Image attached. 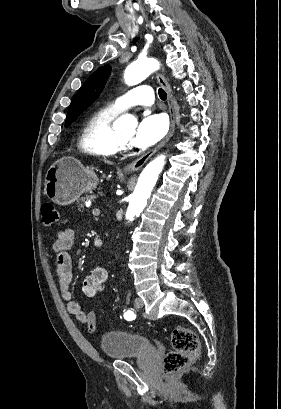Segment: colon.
Here are the masks:
<instances>
[{"label": "colon", "mask_w": 281, "mask_h": 409, "mask_svg": "<svg viewBox=\"0 0 281 409\" xmlns=\"http://www.w3.org/2000/svg\"><path fill=\"white\" fill-rule=\"evenodd\" d=\"M42 222L46 226L55 224L59 220V211L51 201H45L41 206ZM88 330L93 332L95 325L88 324ZM170 342L173 351L166 354L163 360V367L166 371L176 372L184 369L192 360L199 356V340L196 333L186 327H174Z\"/></svg>", "instance_id": "obj_1"}]
</instances>
